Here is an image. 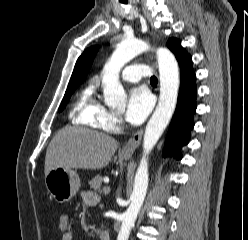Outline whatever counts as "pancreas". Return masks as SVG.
Wrapping results in <instances>:
<instances>
[{"instance_id": "obj_1", "label": "pancreas", "mask_w": 248, "mask_h": 240, "mask_svg": "<svg viewBox=\"0 0 248 240\" xmlns=\"http://www.w3.org/2000/svg\"><path fill=\"white\" fill-rule=\"evenodd\" d=\"M102 182H103V177L100 175H97L91 181H89V184L91 188L100 192Z\"/></svg>"}]
</instances>
